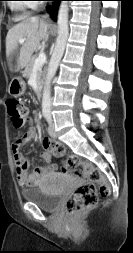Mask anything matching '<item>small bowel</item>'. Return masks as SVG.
<instances>
[{
    "instance_id": "obj_1",
    "label": "small bowel",
    "mask_w": 133,
    "mask_h": 253,
    "mask_svg": "<svg viewBox=\"0 0 133 253\" xmlns=\"http://www.w3.org/2000/svg\"><path fill=\"white\" fill-rule=\"evenodd\" d=\"M36 138V131L30 128L21 138L16 139L12 143L15 174L19 185L23 188L38 185L44 174L56 170V166L51 163V153L46 151L42 154L46 164L44 166L36 167L32 173L28 172L30 161L20 153V149L24 144Z\"/></svg>"
}]
</instances>
